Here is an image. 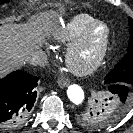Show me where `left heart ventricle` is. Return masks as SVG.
Instances as JSON below:
<instances>
[{
	"mask_svg": "<svg viewBox=\"0 0 133 133\" xmlns=\"http://www.w3.org/2000/svg\"><path fill=\"white\" fill-rule=\"evenodd\" d=\"M104 35V28L102 26L95 27L90 33L85 47L78 56L81 62L89 61L99 48Z\"/></svg>",
	"mask_w": 133,
	"mask_h": 133,
	"instance_id": "b2bd125f",
	"label": "left heart ventricle"
}]
</instances>
